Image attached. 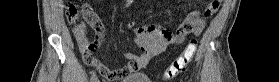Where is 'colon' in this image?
<instances>
[{
  "instance_id": "5ec220e1",
  "label": "colon",
  "mask_w": 279,
  "mask_h": 82,
  "mask_svg": "<svg viewBox=\"0 0 279 82\" xmlns=\"http://www.w3.org/2000/svg\"><path fill=\"white\" fill-rule=\"evenodd\" d=\"M81 3V6L69 5L66 8V20L73 26L83 27L82 19H84L91 27L98 28L101 25V20L94 12V10L84 1H74V3ZM220 1H211L210 4H219ZM198 41L192 38L190 43L183 49L182 53L177 56L173 62L165 69L163 80L168 81L179 73L183 72L190 63L193 55L197 50ZM117 76V73H113Z\"/></svg>"
}]
</instances>
